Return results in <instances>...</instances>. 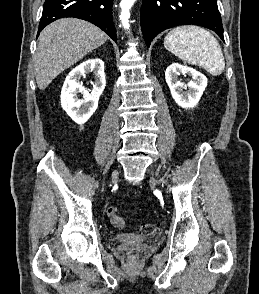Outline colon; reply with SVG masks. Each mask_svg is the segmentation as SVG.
Segmentation results:
<instances>
[{
  "label": "colon",
  "mask_w": 259,
  "mask_h": 294,
  "mask_svg": "<svg viewBox=\"0 0 259 294\" xmlns=\"http://www.w3.org/2000/svg\"><path fill=\"white\" fill-rule=\"evenodd\" d=\"M107 216L112 223L117 228H123L125 226V221L120 217L118 209L116 207H109L107 209ZM158 230L157 225L152 223H145L139 226L138 234L141 236H152L156 234ZM130 254L135 256L137 254L136 249H131Z\"/></svg>",
  "instance_id": "1"
}]
</instances>
